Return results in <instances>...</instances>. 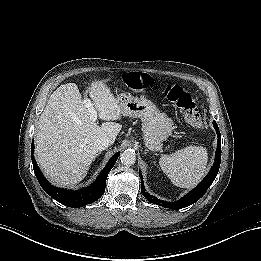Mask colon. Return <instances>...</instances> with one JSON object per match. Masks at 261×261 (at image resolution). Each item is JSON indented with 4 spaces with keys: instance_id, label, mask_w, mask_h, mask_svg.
I'll list each match as a JSON object with an SVG mask.
<instances>
[{
    "instance_id": "5ec220e1",
    "label": "colon",
    "mask_w": 261,
    "mask_h": 261,
    "mask_svg": "<svg viewBox=\"0 0 261 261\" xmlns=\"http://www.w3.org/2000/svg\"><path fill=\"white\" fill-rule=\"evenodd\" d=\"M126 81L128 85L136 91H143L150 87L151 77L143 72H136L127 75ZM165 98L178 107L185 117L195 126L203 125L201 117L192 94L177 84H169L163 89Z\"/></svg>"
}]
</instances>
